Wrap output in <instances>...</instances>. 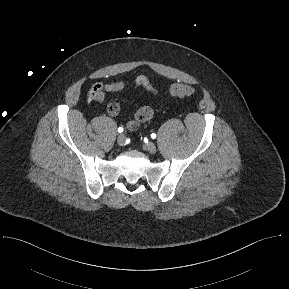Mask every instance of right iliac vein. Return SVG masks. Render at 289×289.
<instances>
[{"label":"right iliac vein","instance_id":"right-iliac-vein-1","mask_svg":"<svg viewBox=\"0 0 289 289\" xmlns=\"http://www.w3.org/2000/svg\"><path fill=\"white\" fill-rule=\"evenodd\" d=\"M125 142H126V136L124 134H120L117 138V144L119 146H123L125 145Z\"/></svg>","mask_w":289,"mask_h":289}]
</instances>
